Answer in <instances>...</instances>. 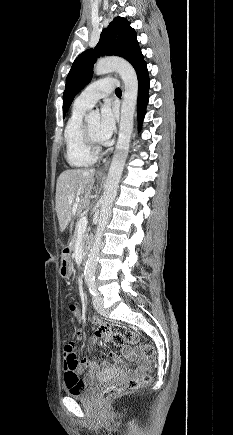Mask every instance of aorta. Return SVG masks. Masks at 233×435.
I'll return each mask as SVG.
<instances>
[{
	"mask_svg": "<svg viewBox=\"0 0 233 435\" xmlns=\"http://www.w3.org/2000/svg\"><path fill=\"white\" fill-rule=\"evenodd\" d=\"M116 71L124 82L123 102L121 106V120L119 126V137L115 153L108 171L105 189L101 198L100 217L96 228L94 242L85 267V280L93 281L98 261V255L102 242L104 230L111 216V208L115 200L119 181L127 158L130 138L133 131V119L136 109L138 80L134 68L130 63L120 58H106L99 60L94 67L96 75H103ZM98 111H91L86 116L88 122L99 121Z\"/></svg>",
	"mask_w": 233,
	"mask_h": 435,
	"instance_id": "1",
	"label": "aorta"
}]
</instances>
